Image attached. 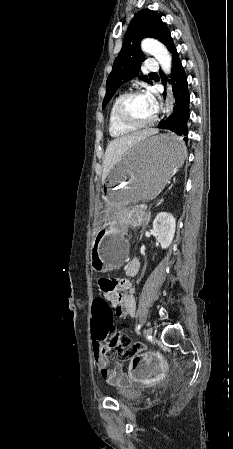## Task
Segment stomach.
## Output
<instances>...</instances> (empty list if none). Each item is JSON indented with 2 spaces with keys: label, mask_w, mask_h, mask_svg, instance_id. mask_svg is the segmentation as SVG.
<instances>
[{
  "label": "stomach",
  "mask_w": 233,
  "mask_h": 449,
  "mask_svg": "<svg viewBox=\"0 0 233 449\" xmlns=\"http://www.w3.org/2000/svg\"><path fill=\"white\" fill-rule=\"evenodd\" d=\"M173 151V152H171ZM186 148L174 133L151 135L135 144L109 172L103 196L110 207L155 198L184 161ZM91 267L107 272L122 266L128 252L126 229L118 216L98 223Z\"/></svg>",
  "instance_id": "0dacf381"
}]
</instances>
